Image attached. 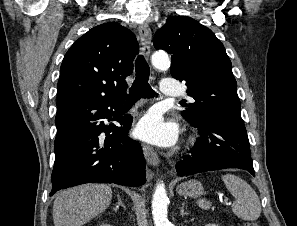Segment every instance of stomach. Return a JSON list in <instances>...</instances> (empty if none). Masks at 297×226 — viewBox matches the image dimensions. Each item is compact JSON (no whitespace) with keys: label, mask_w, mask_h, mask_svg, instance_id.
I'll list each match as a JSON object with an SVG mask.
<instances>
[{"label":"stomach","mask_w":297,"mask_h":226,"mask_svg":"<svg viewBox=\"0 0 297 226\" xmlns=\"http://www.w3.org/2000/svg\"><path fill=\"white\" fill-rule=\"evenodd\" d=\"M177 191L182 196L188 197H200L204 193L202 184L197 180H190L184 183H181Z\"/></svg>","instance_id":"stomach-1"}]
</instances>
